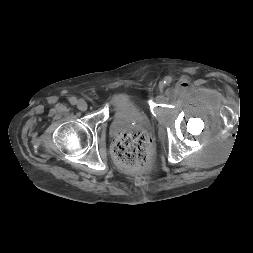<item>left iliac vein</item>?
<instances>
[{
    "instance_id": "4c4485c4",
    "label": "left iliac vein",
    "mask_w": 253,
    "mask_h": 253,
    "mask_svg": "<svg viewBox=\"0 0 253 253\" xmlns=\"http://www.w3.org/2000/svg\"><path fill=\"white\" fill-rule=\"evenodd\" d=\"M164 87H165L164 82H160V83H159V89L162 90Z\"/></svg>"
}]
</instances>
